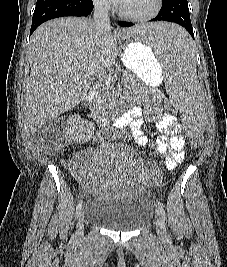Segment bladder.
<instances>
[{"label": "bladder", "instance_id": "31cf9c89", "mask_svg": "<svg viewBox=\"0 0 227 267\" xmlns=\"http://www.w3.org/2000/svg\"><path fill=\"white\" fill-rule=\"evenodd\" d=\"M153 212V197L144 192L119 199L91 197L85 217L90 224L117 232H130L148 222Z\"/></svg>", "mask_w": 227, "mask_h": 267}]
</instances>
